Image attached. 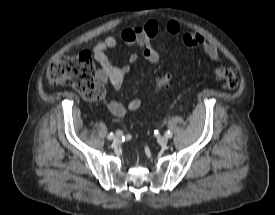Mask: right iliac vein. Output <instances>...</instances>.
Returning <instances> with one entry per match:
<instances>
[{"label": "right iliac vein", "mask_w": 275, "mask_h": 215, "mask_svg": "<svg viewBox=\"0 0 275 215\" xmlns=\"http://www.w3.org/2000/svg\"><path fill=\"white\" fill-rule=\"evenodd\" d=\"M123 137V132L118 130L116 133H115V139L116 140H120L121 138Z\"/></svg>", "instance_id": "right-iliac-vein-1"}]
</instances>
